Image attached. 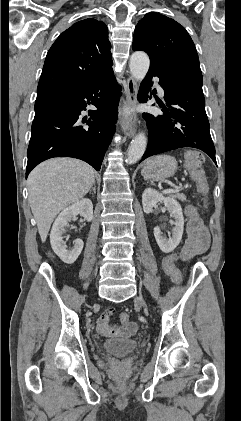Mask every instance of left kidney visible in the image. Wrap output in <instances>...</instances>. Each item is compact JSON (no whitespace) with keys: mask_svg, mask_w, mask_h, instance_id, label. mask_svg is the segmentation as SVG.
<instances>
[{"mask_svg":"<svg viewBox=\"0 0 241 421\" xmlns=\"http://www.w3.org/2000/svg\"><path fill=\"white\" fill-rule=\"evenodd\" d=\"M158 202H163L175 219L172 237L169 239H166L162 235V232L158 227L154 228V236L159 248L164 253H170L178 246L182 239L184 230L182 207L175 199L171 197H164L161 193L154 189L147 188L144 190L142 194V205L145 213H152L153 207H155Z\"/></svg>","mask_w":241,"mask_h":421,"instance_id":"left-kidney-1","label":"left kidney"}]
</instances>
